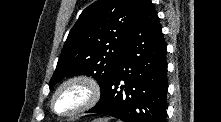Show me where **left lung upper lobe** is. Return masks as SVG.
<instances>
[{
	"instance_id": "obj_1",
	"label": "left lung upper lobe",
	"mask_w": 221,
	"mask_h": 122,
	"mask_svg": "<svg viewBox=\"0 0 221 122\" xmlns=\"http://www.w3.org/2000/svg\"><path fill=\"white\" fill-rule=\"evenodd\" d=\"M141 0H98L83 10L62 49L49 87L93 76L105 91L136 20Z\"/></svg>"
}]
</instances>
